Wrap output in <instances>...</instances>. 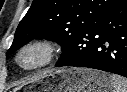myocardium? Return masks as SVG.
I'll use <instances>...</instances> for the list:
<instances>
[{
  "mask_svg": "<svg viewBox=\"0 0 127 92\" xmlns=\"http://www.w3.org/2000/svg\"><path fill=\"white\" fill-rule=\"evenodd\" d=\"M30 51L40 52L41 59L31 66H25L22 63L21 58L25 53ZM60 51V45L54 40L47 38L31 40L19 48L15 55V63L24 71H35L50 65L57 58Z\"/></svg>",
  "mask_w": 127,
  "mask_h": 92,
  "instance_id": "f54148a6",
  "label": "myocardium"
}]
</instances>
